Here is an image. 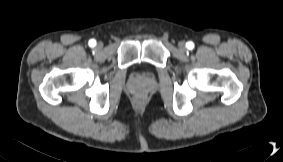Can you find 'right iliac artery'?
<instances>
[{"instance_id":"obj_1","label":"right iliac artery","mask_w":283,"mask_h":162,"mask_svg":"<svg viewBox=\"0 0 283 162\" xmlns=\"http://www.w3.org/2000/svg\"><path fill=\"white\" fill-rule=\"evenodd\" d=\"M96 45V41L94 40V39H91L90 41H89V46L90 47H94Z\"/></svg>"}]
</instances>
